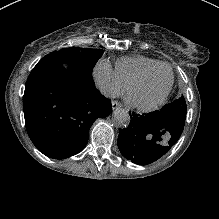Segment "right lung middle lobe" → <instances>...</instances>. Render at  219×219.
Instances as JSON below:
<instances>
[{
  "mask_svg": "<svg viewBox=\"0 0 219 219\" xmlns=\"http://www.w3.org/2000/svg\"><path fill=\"white\" fill-rule=\"evenodd\" d=\"M103 52L104 51L101 49L70 47L60 51L51 52L42 58L39 63L57 58L69 59L92 70L98 59L102 56Z\"/></svg>",
  "mask_w": 219,
  "mask_h": 219,
  "instance_id": "right-lung-middle-lobe-1",
  "label": "right lung middle lobe"
}]
</instances>
